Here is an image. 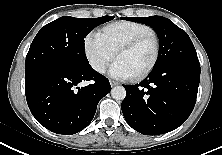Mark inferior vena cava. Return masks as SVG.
<instances>
[{
  "label": "inferior vena cava",
  "mask_w": 222,
  "mask_h": 155,
  "mask_svg": "<svg viewBox=\"0 0 222 155\" xmlns=\"http://www.w3.org/2000/svg\"><path fill=\"white\" fill-rule=\"evenodd\" d=\"M98 70H99L100 72H103V73H104V71H105L104 66H103V65H99Z\"/></svg>",
  "instance_id": "obj_1"
}]
</instances>
